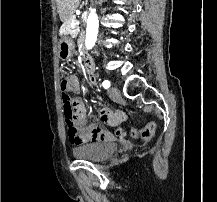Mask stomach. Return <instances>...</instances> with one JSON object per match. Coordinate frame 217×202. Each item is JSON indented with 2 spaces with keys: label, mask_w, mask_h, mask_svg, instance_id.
I'll return each mask as SVG.
<instances>
[{
  "label": "stomach",
  "mask_w": 217,
  "mask_h": 202,
  "mask_svg": "<svg viewBox=\"0 0 217 202\" xmlns=\"http://www.w3.org/2000/svg\"><path fill=\"white\" fill-rule=\"evenodd\" d=\"M74 42L71 38L63 36L58 46V56L60 60H69L73 56Z\"/></svg>",
  "instance_id": "stomach-1"
}]
</instances>
